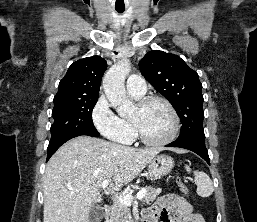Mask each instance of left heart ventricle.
Listing matches in <instances>:
<instances>
[{
  "label": "left heart ventricle",
  "mask_w": 257,
  "mask_h": 222,
  "mask_svg": "<svg viewBox=\"0 0 257 222\" xmlns=\"http://www.w3.org/2000/svg\"><path fill=\"white\" fill-rule=\"evenodd\" d=\"M131 119L137 123L142 134L150 140L167 137L173 127L169 110L160 102H153L144 108L136 106Z\"/></svg>",
  "instance_id": "b2bd125f"
}]
</instances>
